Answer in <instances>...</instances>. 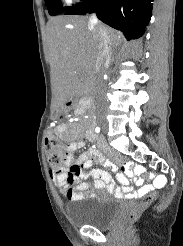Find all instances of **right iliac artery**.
I'll use <instances>...</instances> for the list:
<instances>
[{"label":"right iliac artery","instance_id":"obj_1","mask_svg":"<svg viewBox=\"0 0 183 246\" xmlns=\"http://www.w3.org/2000/svg\"><path fill=\"white\" fill-rule=\"evenodd\" d=\"M95 131H96L97 133H99V132H100V128H99V127H96V128H95Z\"/></svg>","mask_w":183,"mask_h":246}]
</instances>
